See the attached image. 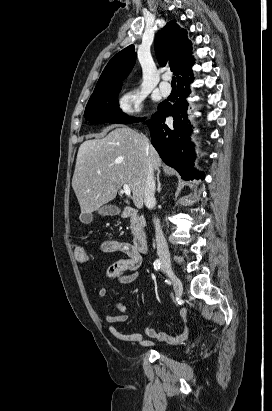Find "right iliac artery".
Segmentation results:
<instances>
[{"label":"right iliac artery","instance_id":"obj_1","mask_svg":"<svg viewBox=\"0 0 272 411\" xmlns=\"http://www.w3.org/2000/svg\"><path fill=\"white\" fill-rule=\"evenodd\" d=\"M154 269L157 271L161 267V261L159 259H156L153 263ZM173 339V338H172ZM175 341V338L173 339Z\"/></svg>","mask_w":272,"mask_h":411}]
</instances>
